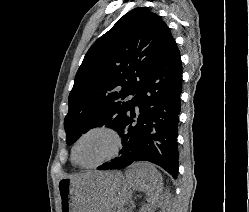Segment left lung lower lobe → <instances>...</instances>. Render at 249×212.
Segmentation results:
<instances>
[{
  "label": "left lung lower lobe",
  "mask_w": 249,
  "mask_h": 212,
  "mask_svg": "<svg viewBox=\"0 0 249 212\" xmlns=\"http://www.w3.org/2000/svg\"><path fill=\"white\" fill-rule=\"evenodd\" d=\"M181 92V58L173 40L144 79L119 127L122 156L97 169H120L134 161H149L176 178Z\"/></svg>",
  "instance_id": "obj_1"
}]
</instances>
